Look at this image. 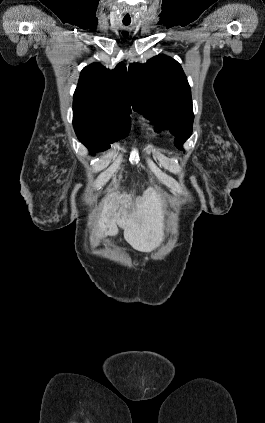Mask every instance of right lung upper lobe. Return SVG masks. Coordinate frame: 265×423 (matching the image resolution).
Returning <instances> with one entry per match:
<instances>
[{
	"label": "right lung upper lobe",
	"mask_w": 265,
	"mask_h": 423,
	"mask_svg": "<svg viewBox=\"0 0 265 423\" xmlns=\"http://www.w3.org/2000/svg\"><path fill=\"white\" fill-rule=\"evenodd\" d=\"M73 111L118 122L131 113L126 65L106 69L99 63L86 66L80 74L73 98Z\"/></svg>",
	"instance_id": "obj_1"
}]
</instances>
